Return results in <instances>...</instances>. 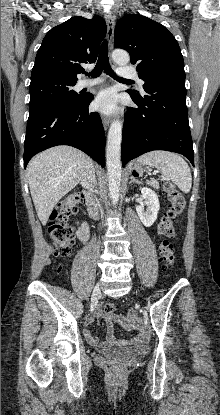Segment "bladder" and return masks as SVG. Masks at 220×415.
I'll use <instances>...</instances> for the list:
<instances>
[{
  "mask_svg": "<svg viewBox=\"0 0 220 415\" xmlns=\"http://www.w3.org/2000/svg\"><path fill=\"white\" fill-rule=\"evenodd\" d=\"M147 345H138L125 348H113L105 351L103 355L112 360L126 361L145 354Z\"/></svg>",
  "mask_w": 220,
  "mask_h": 415,
  "instance_id": "1",
  "label": "bladder"
}]
</instances>
